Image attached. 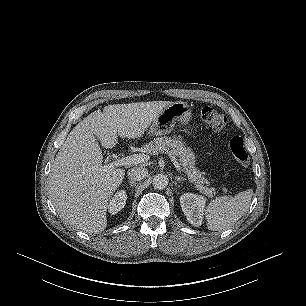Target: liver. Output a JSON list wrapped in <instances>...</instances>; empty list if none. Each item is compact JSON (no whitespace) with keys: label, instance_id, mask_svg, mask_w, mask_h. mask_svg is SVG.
I'll list each match as a JSON object with an SVG mask.
<instances>
[{"label":"liver","instance_id":"liver-1","mask_svg":"<svg viewBox=\"0 0 306 306\" xmlns=\"http://www.w3.org/2000/svg\"><path fill=\"white\" fill-rule=\"evenodd\" d=\"M170 101L105 106L92 112L69 133L56 155L49 190L57 213L69 225L88 234L107 227L106 212L124 179L123 168L102 165L100 145L113 148L121 138L142 137Z\"/></svg>","mask_w":306,"mask_h":306}]
</instances>
